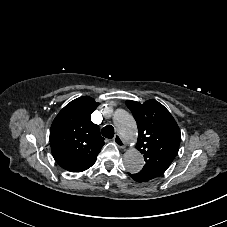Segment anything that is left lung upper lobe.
Returning <instances> with one entry per match:
<instances>
[{
	"label": "left lung upper lobe",
	"instance_id": "left-lung-upper-lobe-1",
	"mask_svg": "<svg viewBox=\"0 0 227 227\" xmlns=\"http://www.w3.org/2000/svg\"><path fill=\"white\" fill-rule=\"evenodd\" d=\"M138 127L136 148L144 155L145 165L137 175L153 179L162 175L178 153L181 133L170 112L159 102L143 104L126 101Z\"/></svg>",
	"mask_w": 227,
	"mask_h": 227
}]
</instances>
